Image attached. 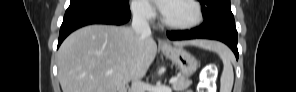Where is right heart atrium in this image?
<instances>
[{
  "label": "right heart atrium",
  "mask_w": 296,
  "mask_h": 92,
  "mask_svg": "<svg viewBox=\"0 0 296 92\" xmlns=\"http://www.w3.org/2000/svg\"><path fill=\"white\" fill-rule=\"evenodd\" d=\"M131 9L133 14L142 21H151L155 18V10L147 1H132Z\"/></svg>",
  "instance_id": "obj_1"
}]
</instances>
